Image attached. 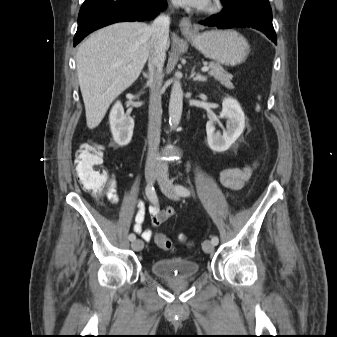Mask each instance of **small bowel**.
<instances>
[{
	"label": "small bowel",
	"instance_id": "c3829d8e",
	"mask_svg": "<svg viewBox=\"0 0 337 337\" xmlns=\"http://www.w3.org/2000/svg\"><path fill=\"white\" fill-rule=\"evenodd\" d=\"M258 162L255 161L252 164L245 165L243 167H228L221 170L219 178L221 183L230 189H240L244 186L245 182L250 178L252 171L257 167ZM106 197L112 204H117L119 202V196L117 194V180L115 176L110 179L109 187L106 191ZM137 214L135 216L134 231L145 242L152 241L154 237V232L150 228H144L143 224L146 216L145 205L142 201L137 202ZM149 214L151 216V224L153 227L160 226L165 221L172 219L175 212L172 208H166L160 210L157 204L150 206Z\"/></svg>",
	"mask_w": 337,
	"mask_h": 337
}]
</instances>
